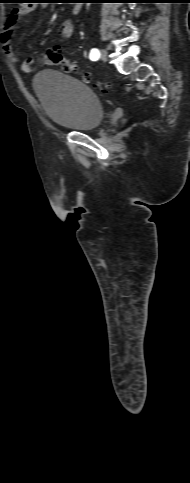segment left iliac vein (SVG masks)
<instances>
[{
  "label": "left iliac vein",
  "mask_w": 190,
  "mask_h": 483,
  "mask_svg": "<svg viewBox=\"0 0 190 483\" xmlns=\"http://www.w3.org/2000/svg\"><path fill=\"white\" fill-rule=\"evenodd\" d=\"M100 59L103 62H106L108 60V53H107V50L106 49H102L101 50Z\"/></svg>",
  "instance_id": "left-iliac-vein-1"
}]
</instances>
